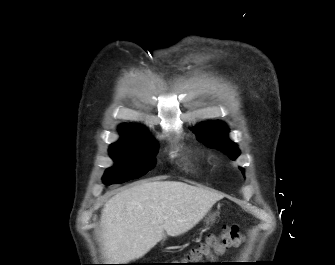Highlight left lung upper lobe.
Returning <instances> with one entry per match:
<instances>
[{
    "label": "left lung upper lobe",
    "instance_id": "obj_1",
    "mask_svg": "<svg viewBox=\"0 0 335 265\" xmlns=\"http://www.w3.org/2000/svg\"><path fill=\"white\" fill-rule=\"evenodd\" d=\"M197 140L209 147L222 150L235 160L240 154L237 145L227 137L229 128L221 121H212L194 128ZM243 170V169H242Z\"/></svg>",
    "mask_w": 335,
    "mask_h": 265
}]
</instances>
